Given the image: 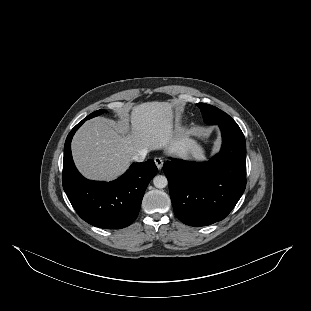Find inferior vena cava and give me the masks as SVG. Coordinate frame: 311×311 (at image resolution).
Instances as JSON below:
<instances>
[{"mask_svg":"<svg viewBox=\"0 0 311 311\" xmlns=\"http://www.w3.org/2000/svg\"><path fill=\"white\" fill-rule=\"evenodd\" d=\"M148 151L146 150H142L138 153H136L132 159L136 162H143L145 160V158L147 157Z\"/></svg>","mask_w":311,"mask_h":311,"instance_id":"602c4592","label":"inferior vena cava"}]
</instances>
